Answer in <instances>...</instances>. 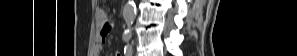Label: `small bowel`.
Wrapping results in <instances>:
<instances>
[{
    "mask_svg": "<svg viewBox=\"0 0 297 56\" xmlns=\"http://www.w3.org/2000/svg\"><path fill=\"white\" fill-rule=\"evenodd\" d=\"M99 19H100V31H99V40L95 48L96 55H99L102 46L106 41V38L112 29L113 23L112 21L107 17L106 13L101 10L99 13ZM119 56V54H117Z\"/></svg>",
    "mask_w": 297,
    "mask_h": 56,
    "instance_id": "1",
    "label": "small bowel"
}]
</instances>
